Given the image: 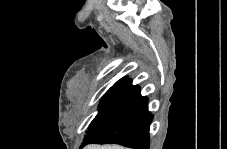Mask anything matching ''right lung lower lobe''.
I'll use <instances>...</instances> for the list:
<instances>
[{"mask_svg": "<svg viewBox=\"0 0 227 149\" xmlns=\"http://www.w3.org/2000/svg\"><path fill=\"white\" fill-rule=\"evenodd\" d=\"M152 120L153 115L148 111V98L139 93L116 119L92 132L85 145L120 144L135 149H149V127Z\"/></svg>", "mask_w": 227, "mask_h": 149, "instance_id": "98d812e1", "label": "right lung lower lobe"}]
</instances>
